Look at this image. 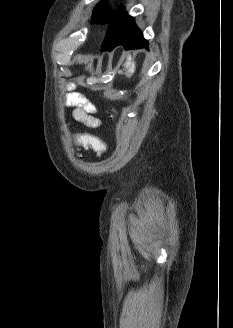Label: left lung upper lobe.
<instances>
[{"instance_id":"obj_1","label":"left lung upper lobe","mask_w":233,"mask_h":328,"mask_svg":"<svg viewBox=\"0 0 233 328\" xmlns=\"http://www.w3.org/2000/svg\"><path fill=\"white\" fill-rule=\"evenodd\" d=\"M122 11V10H121ZM114 13L107 8L106 2L103 1L94 9L93 15L97 17V19L92 22L93 24H109L111 23L115 17L121 12Z\"/></svg>"}]
</instances>
